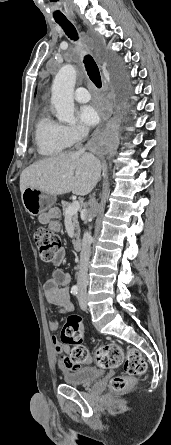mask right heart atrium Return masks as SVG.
Returning <instances> with one entry per match:
<instances>
[{
	"label": "right heart atrium",
	"mask_w": 171,
	"mask_h": 445,
	"mask_svg": "<svg viewBox=\"0 0 171 445\" xmlns=\"http://www.w3.org/2000/svg\"><path fill=\"white\" fill-rule=\"evenodd\" d=\"M64 137L69 145L80 142L87 135V130L79 125H63L62 126Z\"/></svg>",
	"instance_id": "obj_1"
}]
</instances>
